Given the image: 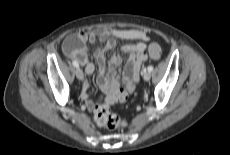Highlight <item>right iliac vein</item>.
Here are the masks:
<instances>
[{"mask_svg": "<svg viewBox=\"0 0 230 155\" xmlns=\"http://www.w3.org/2000/svg\"><path fill=\"white\" fill-rule=\"evenodd\" d=\"M75 74H76V77L78 78V80H83L84 74H83V71L80 68H77L75 70Z\"/></svg>", "mask_w": 230, "mask_h": 155, "instance_id": "obj_1", "label": "right iliac vein"}]
</instances>
